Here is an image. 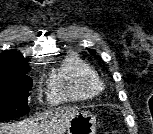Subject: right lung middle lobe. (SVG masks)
Listing matches in <instances>:
<instances>
[{
    "label": "right lung middle lobe",
    "instance_id": "dd1d6c3e",
    "mask_svg": "<svg viewBox=\"0 0 153 134\" xmlns=\"http://www.w3.org/2000/svg\"><path fill=\"white\" fill-rule=\"evenodd\" d=\"M32 84L27 75L0 76V122L29 112L27 102Z\"/></svg>",
    "mask_w": 153,
    "mask_h": 134
}]
</instances>
